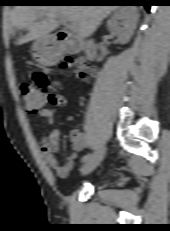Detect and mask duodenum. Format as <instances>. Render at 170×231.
Instances as JSON below:
<instances>
[{"mask_svg": "<svg viewBox=\"0 0 170 231\" xmlns=\"http://www.w3.org/2000/svg\"><path fill=\"white\" fill-rule=\"evenodd\" d=\"M53 36L59 46L57 50L59 53L75 54L82 51L87 60L96 59L97 46L94 42L72 37L66 31H57Z\"/></svg>", "mask_w": 170, "mask_h": 231, "instance_id": "duodenum-1", "label": "duodenum"}]
</instances>
